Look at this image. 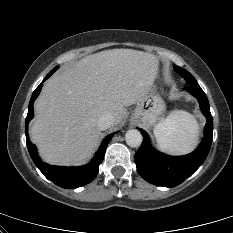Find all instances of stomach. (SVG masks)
Returning a JSON list of instances; mask_svg holds the SVG:
<instances>
[{"label":"stomach","instance_id":"0dacf381","mask_svg":"<svg viewBox=\"0 0 233 233\" xmlns=\"http://www.w3.org/2000/svg\"><path fill=\"white\" fill-rule=\"evenodd\" d=\"M165 108L163 99L156 92V89L152 87L149 93L137 103L131 119L141 122L147 128H151L160 120Z\"/></svg>","mask_w":233,"mask_h":233}]
</instances>
